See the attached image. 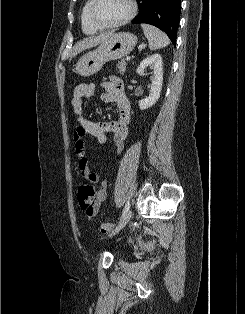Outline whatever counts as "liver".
<instances>
[{
    "instance_id": "liver-1",
    "label": "liver",
    "mask_w": 245,
    "mask_h": 314,
    "mask_svg": "<svg viewBox=\"0 0 245 314\" xmlns=\"http://www.w3.org/2000/svg\"><path fill=\"white\" fill-rule=\"evenodd\" d=\"M113 33L112 32H106L102 33L96 37H89L82 41H79L75 44L73 47V52L71 54V59L81 53L82 51L86 49H90L100 43H102L104 40H106L108 37H110Z\"/></svg>"
}]
</instances>
